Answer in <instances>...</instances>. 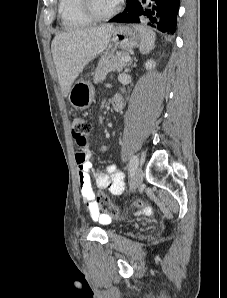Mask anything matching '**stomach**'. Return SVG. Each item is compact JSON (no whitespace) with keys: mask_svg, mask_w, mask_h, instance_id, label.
<instances>
[{"mask_svg":"<svg viewBox=\"0 0 227 298\" xmlns=\"http://www.w3.org/2000/svg\"><path fill=\"white\" fill-rule=\"evenodd\" d=\"M110 41L115 48L128 51L138 46L141 35L134 27L119 25L114 28ZM93 97L94 88L86 78L78 80L69 93L71 105L80 110L89 108Z\"/></svg>","mask_w":227,"mask_h":298,"instance_id":"0dacf381","label":"stomach"}]
</instances>
